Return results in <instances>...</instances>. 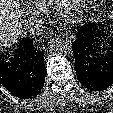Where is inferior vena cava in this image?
<instances>
[{
    "instance_id": "1",
    "label": "inferior vena cava",
    "mask_w": 113,
    "mask_h": 113,
    "mask_svg": "<svg viewBox=\"0 0 113 113\" xmlns=\"http://www.w3.org/2000/svg\"><path fill=\"white\" fill-rule=\"evenodd\" d=\"M44 22L40 19H33L29 24H28V32L32 36H38L43 33L44 31Z\"/></svg>"
}]
</instances>
